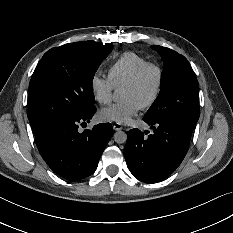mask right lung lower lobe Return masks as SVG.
I'll return each mask as SVG.
<instances>
[{"instance_id":"obj_1","label":"right lung lower lobe","mask_w":233,"mask_h":233,"mask_svg":"<svg viewBox=\"0 0 233 233\" xmlns=\"http://www.w3.org/2000/svg\"><path fill=\"white\" fill-rule=\"evenodd\" d=\"M95 111L92 105L79 116L32 127L41 156L53 172L67 180L78 181L94 173L113 136L110 123L82 132L79 125L90 122Z\"/></svg>"}]
</instances>
